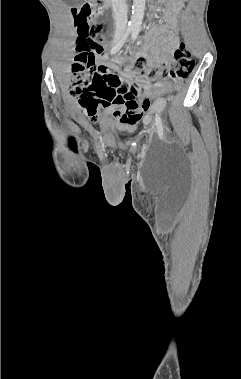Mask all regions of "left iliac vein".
<instances>
[{"label":"left iliac vein","mask_w":241,"mask_h":379,"mask_svg":"<svg viewBox=\"0 0 241 379\" xmlns=\"http://www.w3.org/2000/svg\"><path fill=\"white\" fill-rule=\"evenodd\" d=\"M154 132H155V129L152 128V129L150 130V133L153 134Z\"/></svg>","instance_id":"obj_1"}]
</instances>
